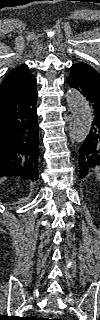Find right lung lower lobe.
<instances>
[{
    "mask_svg": "<svg viewBox=\"0 0 100 320\" xmlns=\"http://www.w3.org/2000/svg\"><path fill=\"white\" fill-rule=\"evenodd\" d=\"M34 87L0 102V175L38 179L39 127Z\"/></svg>",
    "mask_w": 100,
    "mask_h": 320,
    "instance_id": "98d812e1",
    "label": "right lung lower lobe"
}]
</instances>
